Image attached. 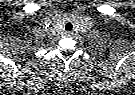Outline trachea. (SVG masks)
<instances>
[{"instance_id": "trachea-1", "label": "trachea", "mask_w": 135, "mask_h": 95, "mask_svg": "<svg viewBox=\"0 0 135 95\" xmlns=\"http://www.w3.org/2000/svg\"><path fill=\"white\" fill-rule=\"evenodd\" d=\"M72 28H73V25L70 22L65 25V30L66 31H71Z\"/></svg>"}]
</instances>
